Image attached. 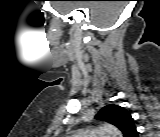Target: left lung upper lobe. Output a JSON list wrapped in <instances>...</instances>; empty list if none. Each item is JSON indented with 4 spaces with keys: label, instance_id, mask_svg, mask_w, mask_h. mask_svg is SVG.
<instances>
[{
    "label": "left lung upper lobe",
    "instance_id": "left-lung-upper-lobe-1",
    "mask_svg": "<svg viewBox=\"0 0 160 137\" xmlns=\"http://www.w3.org/2000/svg\"><path fill=\"white\" fill-rule=\"evenodd\" d=\"M96 119L107 121L115 125L127 137L134 129V121L130 113L123 107L117 105H107L96 115Z\"/></svg>",
    "mask_w": 160,
    "mask_h": 137
}]
</instances>
